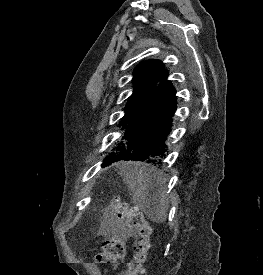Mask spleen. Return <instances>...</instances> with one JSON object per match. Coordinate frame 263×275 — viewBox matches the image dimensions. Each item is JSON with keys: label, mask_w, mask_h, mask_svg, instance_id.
I'll use <instances>...</instances> for the list:
<instances>
[{"label": "spleen", "mask_w": 263, "mask_h": 275, "mask_svg": "<svg viewBox=\"0 0 263 275\" xmlns=\"http://www.w3.org/2000/svg\"><path fill=\"white\" fill-rule=\"evenodd\" d=\"M119 166L124 182L148 217L153 222H163L168 205L165 178L161 172L135 162L121 163Z\"/></svg>", "instance_id": "3e777b00"}]
</instances>
